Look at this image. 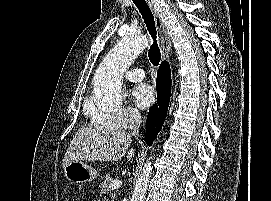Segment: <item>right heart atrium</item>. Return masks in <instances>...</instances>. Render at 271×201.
<instances>
[{
	"label": "right heart atrium",
	"instance_id": "1",
	"mask_svg": "<svg viewBox=\"0 0 271 201\" xmlns=\"http://www.w3.org/2000/svg\"><path fill=\"white\" fill-rule=\"evenodd\" d=\"M88 112L92 122L100 127L130 129L141 121L140 112L132 107H123L115 113H108L90 106Z\"/></svg>",
	"mask_w": 271,
	"mask_h": 201
}]
</instances>
